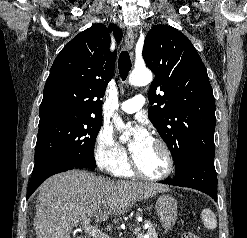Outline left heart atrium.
Returning <instances> with one entry per match:
<instances>
[{
	"mask_svg": "<svg viewBox=\"0 0 247 238\" xmlns=\"http://www.w3.org/2000/svg\"><path fill=\"white\" fill-rule=\"evenodd\" d=\"M152 140L149 132L144 127H137L135 130L133 141L129 148L131 153L134 155L139 152L145 145Z\"/></svg>",
	"mask_w": 247,
	"mask_h": 238,
	"instance_id": "39dd6f15",
	"label": "left heart atrium"
}]
</instances>
